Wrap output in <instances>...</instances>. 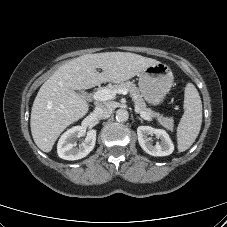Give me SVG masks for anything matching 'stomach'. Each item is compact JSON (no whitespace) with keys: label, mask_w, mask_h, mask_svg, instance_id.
Returning a JSON list of instances; mask_svg holds the SVG:
<instances>
[{"label":"stomach","mask_w":227,"mask_h":227,"mask_svg":"<svg viewBox=\"0 0 227 227\" xmlns=\"http://www.w3.org/2000/svg\"><path fill=\"white\" fill-rule=\"evenodd\" d=\"M138 77L142 97L153 106L164 101L174 82L171 69L161 62L147 67L138 74Z\"/></svg>","instance_id":"1"}]
</instances>
